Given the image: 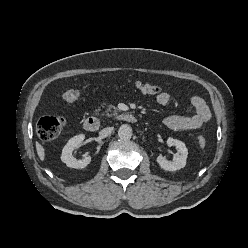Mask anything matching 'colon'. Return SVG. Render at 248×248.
Returning <instances> with one entry per match:
<instances>
[{
    "mask_svg": "<svg viewBox=\"0 0 248 248\" xmlns=\"http://www.w3.org/2000/svg\"><path fill=\"white\" fill-rule=\"evenodd\" d=\"M135 87L138 91L146 95H155L160 92V88L156 85L136 82ZM82 97V93L77 89H70L64 92L63 99L68 103H76ZM65 125V120L61 116H45L37 123V134L43 141H51L55 139ZM198 145L203 148L206 144L204 136H199L197 139Z\"/></svg>",
    "mask_w": 248,
    "mask_h": 248,
    "instance_id": "obj_1",
    "label": "colon"
}]
</instances>
